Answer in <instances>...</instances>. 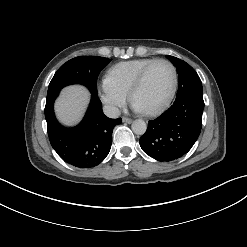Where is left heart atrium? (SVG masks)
Here are the masks:
<instances>
[{
	"label": "left heart atrium",
	"instance_id": "left-heart-atrium-1",
	"mask_svg": "<svg viewBox=\"0 0 247 247\" xmlns=\"http://www.w3.org/2000/svg\"><path fill=\"white\" fill-rule=\"evenodd\" d=\"M133 109L137 112H143V110L135 103H133Z\"/></svg>",
	"mask_w": 247,
	"mask_h": 247
}]
</instances>
